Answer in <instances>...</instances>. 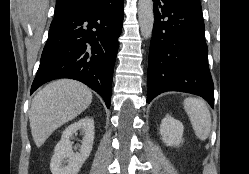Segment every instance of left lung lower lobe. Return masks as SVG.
Instances as JSON below:
<instances>
[{
  "instance_id": "obj_1",
  "label": "left lung lower lobe",
  "mask_w": 249,
  "mask_h": 174,
  "mask_svg": "<svg viewBox=\"0 0 249 174\" xmlns=\"http://www.w3.org/2000/svg\"><path fill=\"white\" fill-rule=\"evenodd\" d=\"M147 102L166 91L188 92L214 105L202 14L179 0H153Z\"/></svg>"
}]
</instances>
